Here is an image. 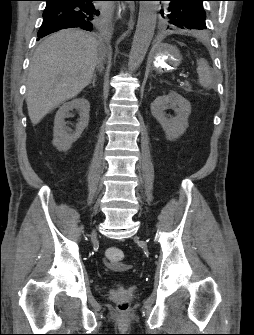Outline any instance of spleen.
I'll use <instances>...</instances> for the list:
<instances>
[{
	"label": "spleen",
	"instance_id": "3e777b00",
	"mask_svg": "<svg viewBox=\"0 0 254 335\" xmlns=\"http://www.w3.org/2000/svg\"><path fill=\"white\" fill-rule=\"evenodd\" d=\"M197 73L199 77V84L204 88H209L213 85V78L211 69L205 59L197 61Z\"/></svg>",
	"mask_w": 254,
	"mask_h": 335
}]
</instances>
